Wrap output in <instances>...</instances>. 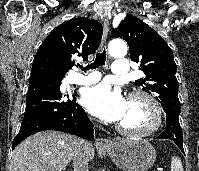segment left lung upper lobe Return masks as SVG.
<instances>
[{"label": "left lung upper lobe", "mask_w": 199, "mask_h": 171, "mask_svg": "<svg viewBox=\"0 0 199 171\" xmlns=\"http://www.w3.org/2000/svg\"><path fill=\"white\" fill-rule=\"evenodd\" d=\"M113 38H123L129 45L130 58L140 63L145 77L136 84L147 93L157 96L165 112L180 114L177 67L171 48L148 24L135 16H127L118 28L112 29Z\"/></svg>", "instance_id": "5c2ea615"}]
</instances>
